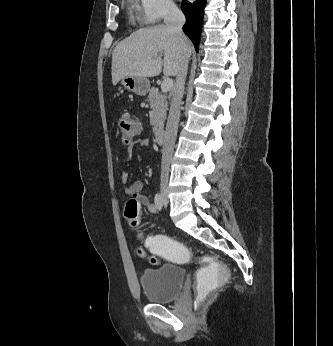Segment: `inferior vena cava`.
I'll list each match as a JSON object with an SVG mask.
<instances>
[{
    "instance_id": "obj_1",
    "label": "inferior vena cava",
    "mask_w": 333,
    "mask_h": 346,
    "mask_svg": "<svg viewBox=\"0 0 333 346\" xmlns=\"http://www.w3.org/2000/svg\"><path fill=\"white\" fill-rule=\"evenodd\" d=\"M164 23L166 27L179 38V46L181 49V57L176 74V83L172 91L171 105L162 148L161 178H168L180 118V104L184 93V85L188 69V55L185 50L186 37L182 32V26L185 23L184 14L178 9V7L170 4L166 9Z\"/></svg>"
}]
</instances>
